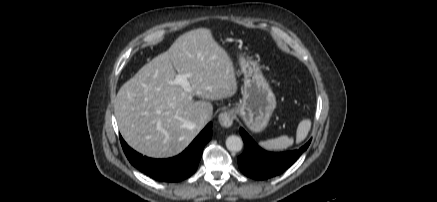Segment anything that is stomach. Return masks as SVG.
Listing matches in <instances>:
<instances>
[{"mask_svg":"<svg viewBox=\"0 0 437 202\" xmlns=\"http://www.w3.org/2000/svg\"><path fill=\"white\" fill-rule=\"evenodd\" d=\"M244 74L242 99L233 110L239 114L246 126L253 132L263 131L276 107V98L260 67L249 58H240Z\"/></svg>","mask_w":437,"mask_h":202,"instance_id":"0dacf381","label":"stomach"}]
</instances>
